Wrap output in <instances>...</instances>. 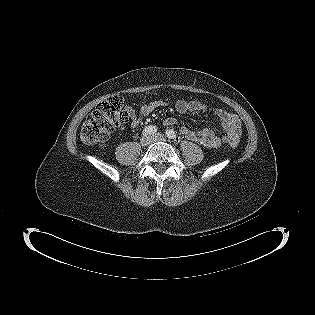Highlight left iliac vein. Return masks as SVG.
I'll return each instance as SVG.
<instances>
[{
  "mask_svg": "<svg viewBox=\"0 0 315 315\" xmlns=\"http://www.w3.org/2000/svg\"><path fill=\"white\" fill-rule=\"evenodd\" d=\"M158 141H166V138L161 134H155L151 136V142H158Z\"/></svg>",
  "mask_w": 315,
  "mask_h": 315,
  "instance_id": "1",
  "label": "left iliac vein"
}]
</instances>
